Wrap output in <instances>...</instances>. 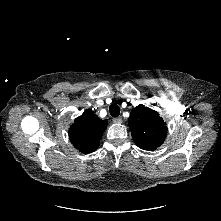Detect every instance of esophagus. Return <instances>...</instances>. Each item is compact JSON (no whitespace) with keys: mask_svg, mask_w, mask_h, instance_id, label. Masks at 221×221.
Segmentation results:
<instances>
[{"mask_svg":"<svg viewBox=\"0 0 221 221\" xmlns=\"http://www.w3.org/2000/svg\"><path fill=\"white\" fill-rule=\"evenodd\" d=\"M113 122L122 123V118L121 117H116V118L113 119Z\"/></svg>","mask_w":221,"mask_h":221,"instance_id":"obj_1","label":"esophagus"}]
</instances>
